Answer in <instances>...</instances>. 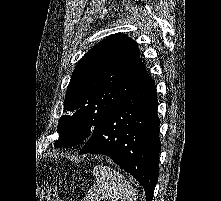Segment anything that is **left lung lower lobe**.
<instances>
[{"label": "left lung lower lobe", "instance_id": "1", "mask_svg": "<svg viewBox=\"0 0 221 201\" xmlns=\"http://www.w3.org/2000/svg\"><path fill=\"white\" fill-rule=\"evenodd\" d=\"M156 86L152 78L118 102L86 141L80 154H104L130 173L152 201L161 148Z\"/></svg>", "mask_w": 221, "mask_h": 201}]
</instances>
